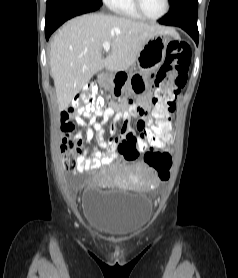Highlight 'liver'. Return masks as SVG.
<instances>
[{
	"label": "liver",
	"mask_w": 238,
	"mask_h": 278,
	"mask_svg": "<svg viewBox=\"0 0 238 278\" xmlns=\"http://www.w3.org/2000/svg\"><path fill=\"white\" fill-rule=\"evenodd\" d=\"M168 28L113 15L86 14L68 21L53 38L50 74L59 111L65 110L94 74L129 69L148 39ZM111 49L102 57L103 43Z\"/></svg>",
	"instance_id": "obj_1"
}]
</instances>
